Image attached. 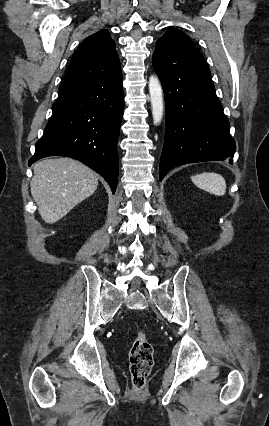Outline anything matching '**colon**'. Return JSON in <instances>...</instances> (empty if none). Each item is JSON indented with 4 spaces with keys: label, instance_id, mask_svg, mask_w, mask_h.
<instances>
[{
    "label": "colon",
    "instance_id": "5ec220e1",
    "mask_svg": "<svg viewBox=\"0 0 269 426\" xmlns=\"http://www.w3.org/2000/svg\"><path fill=\"white\" fill-rule=\"evenodd\" d=\"M129 360L132 387L135 391H141L153 367V347L147 335L142 331H139L134 337Z\"/></svg>",
    "mask_w": 269,
    "mask_h": 426
}]
</instances>
